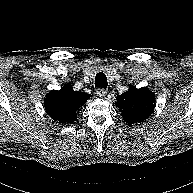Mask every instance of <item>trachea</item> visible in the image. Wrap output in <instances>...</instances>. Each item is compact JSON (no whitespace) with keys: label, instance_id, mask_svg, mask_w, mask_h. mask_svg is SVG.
I'll return each mask as SVG.
<instances>
[{"label":"trachea","instance_id":"3493384b","mask_svg":"<svg viewBox=\"0 0 193 193\" xmlns=\"http://www.w3.org/2000/svg\"><path fill=\"white\" fill-rule=\"evenodd\" d=\"M95 86L98 88H107V77L104 73L99 72L95 77Z\"/></svg>","mask_w":193,"mask_h":193}]
</instances>
